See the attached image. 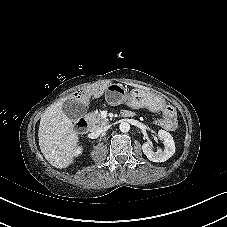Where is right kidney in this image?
<instances>
[{
  "mask_svg": "<svg viewBox=\"0 0 227 227\" xmlns=\"http://www.w3.org/2000/svg\"><path fill=\"white\" fill-rule=\"evenodd\" d=\"M82 153V147H80V146H77V148L74 150V156L76 157V156H78V155H80Z\"/></svg>",
  "mask_w": 227,
  "mask_h": 227,
  "instance_id": "right-kidney-1",
  "label": "right kidney"
}]
</instances>
